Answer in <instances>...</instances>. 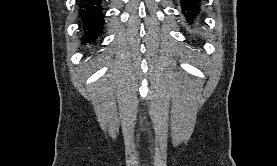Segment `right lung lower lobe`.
Listing matches in <instances>:
<instances>
[{
  "instance_id": "98d812e1",
  "label": "right lung lower lobe",
  "mask_w": 277,
  "mask_h": 166,
  "mask_svg": "<svg viewBox=\"0 0 277 166\" xmlns=\"http://www.w3.org/2000/svg\"><path fill=\"white\" fill-rule=\"evenodd\" d=\"M79 6L80 24L84 32L83 43L95 44L104 24L102 0H81Z\"/></svg>"
}]
</instances>
